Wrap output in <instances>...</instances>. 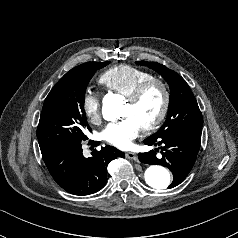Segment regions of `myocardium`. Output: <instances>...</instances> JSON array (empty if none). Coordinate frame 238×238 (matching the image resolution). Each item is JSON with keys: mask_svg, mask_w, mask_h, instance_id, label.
Segmentation results:
<instances>
[{"mask_svg": "<svg viewBox=\"0 0 238 238\" xmlns=\"http://www.w3.org/2000/svg\"><path fill=\"white\" fill-rule=\"evenodd\" d=\"M154 86L160 88V90L162 92V97H163L162 103H161L160 110H159L158 114L156 115V117L151 122H149L148 124L141 127V130L143 132H149V131L156 129L162 123V121L165 119L168 109H169L170 98H171L169 88L163 80L153 77L151 79H148V80L142 82L127 97V102L129 104L136 105L140 102V100L143 98V96L146 94V92Z\"/></svg>", "mask_w": 238, "mask_h": 238, "instance_id": "f54148a6", "label": "myocardium"}]
</instances>
